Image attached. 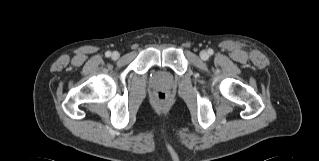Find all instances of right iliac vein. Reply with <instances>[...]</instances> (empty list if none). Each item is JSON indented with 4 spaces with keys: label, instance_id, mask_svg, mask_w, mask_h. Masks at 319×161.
Returning <instances> with one entry per match:
<instances>
[{
    "label": "right iliac vein",
    "instance_id": "obj_1",
    "mask_svg": "<svg viewBox=\"0 0 319 161\" xmlns=\"http://www.w3.org/2000/svg\"><path fill=\"white\" fill-rule=\"evenodd\" d=\"M119 58V53L118 52H113L112 53V59L117 60Z\"/></svg>",
    "mask_w": 319,
    "mask_h": 161
}]
</instances>
